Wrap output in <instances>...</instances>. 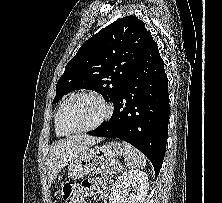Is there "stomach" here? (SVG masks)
Masks as SVG:
<instances>
[{
    "label": "stomach",
    "instance_id": "0dacf381",
    "mask_svg": "<svg viewBox=\"0 0 222 203\" xmlns=\"http://www.w3.org/2000/svg\"><path fill=\"white\" fill-rule=\"evenodd\" d=\"M124 155V147L118 141H111L102 146L89 147L75 156L69 165L70 179L77 180L86 176L102 161L116 160Z\"/></svg>",
    "mask_w": 222,
    "mask_h": 203
}]
</instances>
